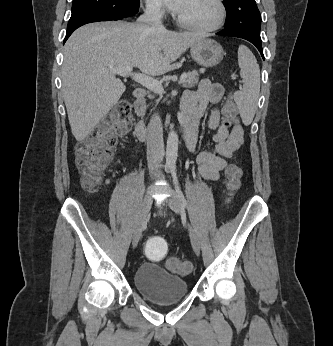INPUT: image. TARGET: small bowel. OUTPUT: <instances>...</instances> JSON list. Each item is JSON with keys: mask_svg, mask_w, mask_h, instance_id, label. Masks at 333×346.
Segmentation results:
<instances>
[{"mask_svg": "<svg viewBox=\"0 0 333 346\" xmlns=\"http://www.w3.org/2000/svg\"><path fill=\"white\" fill-rule=\"evenodd\" d=\"M224 89L220 84L203 79L196 90L186 91L182 99L181 118L189 122L190 134L185 137V145L192 152L198 139V127L209 106H214L208 117V128L213 131L211 150L197 155L200 174L207 180L216 181L226 167V159L242 145L244 131L240 123L231 128L222 121L221 110L215 105L221 100Z\"/></svg>", "mask_w": 333, "mask_h": 346, "instance_id": "c3829d8e", "label": "small bowel"}]
</instances>
